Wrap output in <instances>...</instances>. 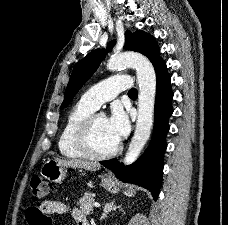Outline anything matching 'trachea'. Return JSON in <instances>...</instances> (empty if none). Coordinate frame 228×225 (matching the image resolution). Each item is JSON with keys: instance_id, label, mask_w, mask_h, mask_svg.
<instances>
[{"instance_id": "3493384b", "label": "trachea", "mask_w": 228, "mask_h": 225, "mask_svg": "<svg viewBox=\"0 0 228 225\" xmlns=\"http://www.w3.org/2000/svg\"><path fill=\"white\" fill-rule=\"evenodd\" d=\"M137 95V90L136 88H131L128 92V96H134Z\"/></svg>"}]
</instances>
